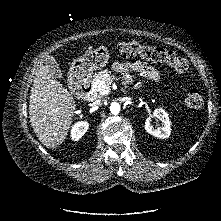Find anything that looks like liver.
I'll list each match as a JSON object with an SVG mask.
<instances>
[{
    "label": "liver",
    "mask_w": 221,
    "mask_h": 221,
    "mask_svg": "<svg viewBox=\"0 0 221 221\" xmlns=\"http://www.w3.org/2000/svg\"><path fill=\"white\" fill-rule=\"evenodd\" d=\"M75 109L71 92L41 65L29 100L30 122L39 141L48 148L61 145L71 128Z\"/></svg>",
    "instance_id": "obj_1"
}]
</instances>
